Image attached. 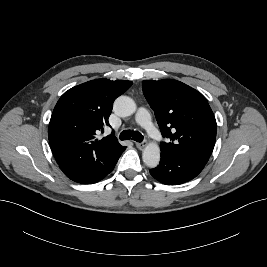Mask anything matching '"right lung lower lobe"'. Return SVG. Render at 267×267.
I'll use <instances>...</instances> for the list:
<instances>
[{"label": "right lung lower lobe", "mask_w": 267, "mask_h": 267, "mask_svg": "<svg viewBox=\"0 0 267 267\" xmlns=\"http://www.w3.org/2000/svg\"><path fill=\"white\" fill-rule=\"evenodd\" d=\"M126 147L122 146L111 157L107 158L105 161L101 162L99 165L88 166V167H75L74 165H59L60 169L64 174L71 180L82 183V184H92L102 180L106 177L113 169L117 163L120 155L125 150Z\"/></svg>", "instance_id": "obj_1"}]
</instances>
